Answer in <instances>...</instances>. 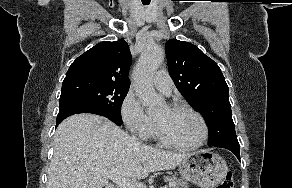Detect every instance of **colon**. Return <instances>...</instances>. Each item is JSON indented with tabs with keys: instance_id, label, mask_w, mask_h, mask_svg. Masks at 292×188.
<instances>
[{
	"instance_id": "colon-1",
	"label": "colon",
	"mask_w": 292,
	"mask_h": 188,
	"mask_svg": "<svg viewBox=\"0 0 292 188\" xmlns=\"http://www.w3.org/2000/svg\"><path fill=\"white\" fill-rule=\"evenodd\" d=\"M233 178L231 173H228L224 179L216 186V188H233Z\"/></svg>"
}]
</instances>
